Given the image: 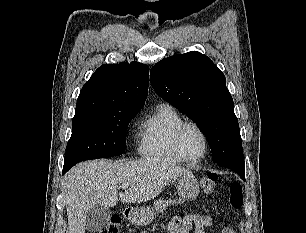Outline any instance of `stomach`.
Segmentation results:
<instances>
[{"mask_svg":"<svg viewBox=\"0 0 306 233\" xmlns=\"http://www.w3.org/2000/svg\"><path fill=\"white\" fill-rule=\"evenodd\" d=\"M177 191L182 200H193L199 194V185L193 174L181 176L177 181ZM153 208L146 206L134 210L130 216V221L135 225H148L155 217Z\"/></svg>","mask_w":306,"mask_h":233,"instance_id":"obj_1","label":"stomach"}]
</instances>
